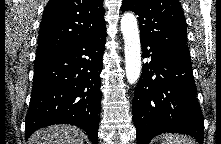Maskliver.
<instances>
[{"label":"liver","mask_w":221,"mask_h":144,"mask_svg":"<svg viewBox=\"0 0 221 144\" xmlns=\"http://www.w3.org/2000/svg\"><path fill=\"white\" fill-rule=\"evenodd\" d=\"M29 144H83V133L74 126L54 125L36 131Z\"/></svg>","instance_id":"6515ba94"}]
</instances>
